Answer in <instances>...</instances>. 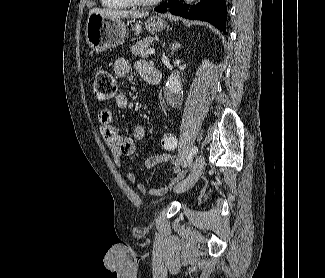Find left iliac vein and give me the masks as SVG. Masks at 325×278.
I'll list each match as a JSON object with an SVG mask.
<instances>
[{
    "label": "left iliac vein",
    "mask_w": 325,
    "mask_h": 278,
    "mask_svg": "<svg viewBox=\"0 0 325 278\" xmlns=\"http://www.w3.org/2000/svg\"><path fill=\"white\" fill-rule=\"evenodd\" d=\"M204 165V157L202 155L198 156L193 163L190 174L187 176L186 179H184L175 186L174 191L176 193H183L192 188L201 176L204 169Z\"/></svg>",
    "instance_id": "left-iliac-vein-1"
}]
</instances>
